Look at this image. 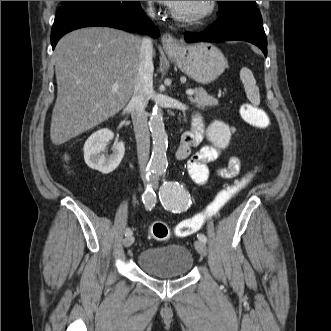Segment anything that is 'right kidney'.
Returning a JSON list of instances; mask_svg holds the SVG:
<instances>
[{
	"label": "right kidney",
	"instance_id": "obj_1",
	"mask_svg": "<svg viewBox=\"0 0 331 331\" xmlns=\"http://www.w3.org/2000/svg\"><path fill=\"white\" fill-rule=\"evenodd\" d=\"M113 136V132L105 128L94 132L86 140L83 151L88 167L103 174H109L119 166L125 153L123 142H115L110 155L103 154L107 143L113 139Z\"/></svg>",
	"mask_w": 331,
	"mask_h": 331
}]
</instances>
